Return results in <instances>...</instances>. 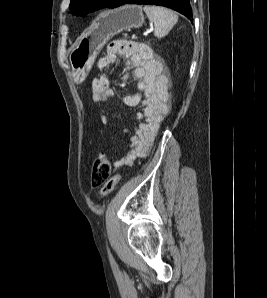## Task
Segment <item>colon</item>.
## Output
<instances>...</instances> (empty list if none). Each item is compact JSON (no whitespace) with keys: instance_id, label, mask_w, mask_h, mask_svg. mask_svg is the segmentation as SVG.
<instances>
[{"instance_id":"obj_1","label":"colon","mask_w":267,"mask_h":298,"mask_svg":"<svg viewBox=\"0 0 267 298\" xmlns=\"http://www.w3.org/2000/svg\"><path fill=\"white\" fill-rule=\"evenodd\" d=\"M121 174L110 176V160L105 152H99L93 162L91 171V184L100 187V197L109 195L118 185Z\"/></svg>"}]
</instances>
